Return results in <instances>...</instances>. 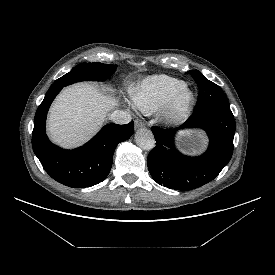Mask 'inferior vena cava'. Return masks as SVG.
<instances>
[{
	"label": "inferior vena cava",
	"mask_w": 275,
	"mask_h": 275,
	"mask_svg": "<svg viewBox=\"0 0 275 275\" xmlns=\"http://www.w3.org/2000/svg\"><path fill=\"white\" fill-rule=\"evenodd\" d=\"M110 119L113 123L116 124H127L131 121L132 118L129 112L116 110L111 114Z\"/></svg>",
	"instance_id": "602c4592"
}]
</instances>
